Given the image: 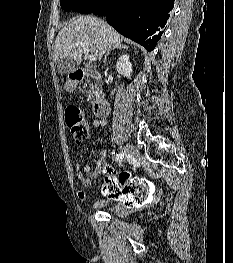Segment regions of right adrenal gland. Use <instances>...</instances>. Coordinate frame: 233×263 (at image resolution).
<instances>
[{
    "label": "right adrenal gland",
    "mask_w": 233,
    "mask_h": 263,
    "mask_svg": "<svg viewBox=\"0 0 233 263\" xmlns=\"http://www.w3.org/2000/svg\"><path fill=\"white\" fill-rule=\"evenodd\" d=\"M127 46L123 45L121 41H119L118 43H115L105 54L104 56V62H106L107 57L110 55L111 51L114 49H126Z\"/></svg>",
    "instance_id": "right-adrenal-gland-1"
}]
</instances>
